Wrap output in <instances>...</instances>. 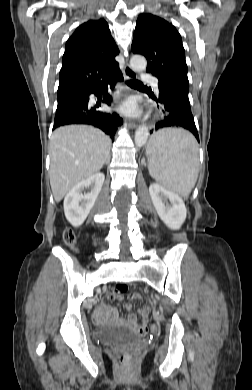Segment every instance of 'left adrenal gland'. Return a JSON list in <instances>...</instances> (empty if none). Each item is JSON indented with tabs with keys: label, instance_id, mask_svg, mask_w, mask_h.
<instances>
[{
	"label": "left adrenal gland",
	"instance_id": "1",
	"mask_svg": "<svg viewBox=\"0 0 252 390\" xmlns=\"http://www.w3.org/2000/svg\"><path fill=\"white\" fill-rule=\"evenodd\" d=\"M143 161H144V165H146L145 160H143Z\"/></svg>",
	"mask_w": 252,
	"mask_h": 390
}]
</instances>
